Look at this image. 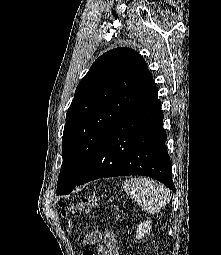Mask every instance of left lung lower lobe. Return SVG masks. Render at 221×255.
Wrapping results in <instances>:
<instances>
[{"label": "left lung lower lobe", "instance_id": "left-lung-lower-lobe-1", "mask_svg": "<svg viewBox=\"0 0 221 255\" xmlns=\"http://www.w3.org/2000/svg\"><path fill=\"white\" fill-rule=\"evenodd\" d=\"M166 140L155 87L113 125L75 186L102 177L142 175L175 192Z\"/></svg>", "mask_w": 221, "mask_h": 255}]
</instances>
